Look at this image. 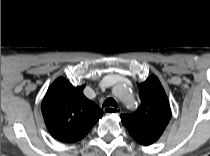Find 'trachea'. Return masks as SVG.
<instances>
[{
    "mask_svg": "<svg viewBox=\"0 0 210 156\" xmlns=\"http://www.w3.org/2000/svg\"><path fill=\"white\" fill-rule=\"evenodd\" d=\"M103 107H107V106H112V107H117V103L113 98H107L103 105Z\"/></svg>",
    "mask_w": 210,
    "mask_h": 156,
    "instance_id": "1",
    "label": "trachea"
}]
</instances>
